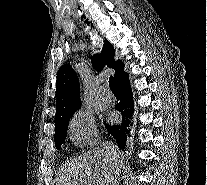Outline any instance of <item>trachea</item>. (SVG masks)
<instances>
[{
	"mask_svg": "<svg viewBox=\"0 0 207 185\" xmlns=\"http://www.w3.org/2000/svg\"><path fill=\"white\" fill-rule=\"evenodd\" d=\"M109 86L114 94H119L113 77L109 79Z\"/></svg>",
	"mask_w": 207,
	"mask_h": 185,
	"instance_id": "3493384b",
	"label": "trachea"
}]
</instances>
